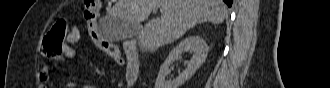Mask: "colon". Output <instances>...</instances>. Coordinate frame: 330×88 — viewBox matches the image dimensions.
<instances>
[{
    "instance_id": "obj_1",
    "label": "colon",
    "mask_w": 330,
    "mask_h": 88,
    "mask_svg": "<svg viewBox=\"0 0 330 88\" xmlns=\"http://www.w3.org/2000/svg\"><path fill=\"white\" fill-rule=\"evenodd\" d=\"M100 10L101 1L89 0L85 3L84 6V18L87 22L90 36L94 45L97 48L105 51L111 49L113 46H117L104 39L98 33L96 21L100 14ZM67 34V22L65 20H59L58 22H56L44 36L41 48L43 54L53 60H58L59 58H61L64 53ZM113 57L118 60L119 54H116Z\"/></svg>"
}]
</instances>
